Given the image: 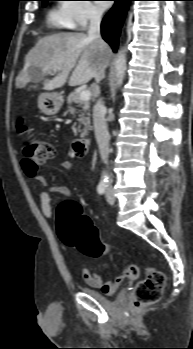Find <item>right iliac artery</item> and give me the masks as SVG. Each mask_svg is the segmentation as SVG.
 <instances>
[{"instance_id":"right-iliac-artery-1","label":"right iliac artery","mask_w":193,"mask_h":349,"mask_svg":"<svg viewBox=\"0 0 193 349\" xmlns=\"http://www.w3.org/2000/svg\"><path fill=\"white\" fill-rule=\"evenodd\" d=\"M107 187H108V184L106 182L99 183L97 187L98 193L101 195L104 194L106 192Z\"/></svg>"}]
</instances>
